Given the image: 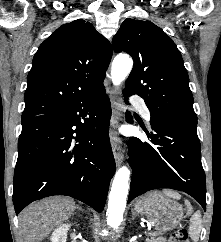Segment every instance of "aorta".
I'll list each match as a JSON object with an SVG mask.
<instances>
[{
	"instance_id": "aorta-1",
	"label": "aorta",
	"mask_w": 221,
	"mask_h": 242,
	"mask_svg": "<svg viewBox=\"0 0 221 242\" xmlns=\"http://www.w3.org/2000/svg\"><path fill=\"white\" fill-rule=\"evenodd\" d=\"M133 67V60L127 55L116 56L111 66V80L115 86L121 84L127 78ZM130 170L121 167L115 174L109 194L107 208V224L111 228H118L126 207V199L129 191Z\"/></svg>"
}]
</instances>
